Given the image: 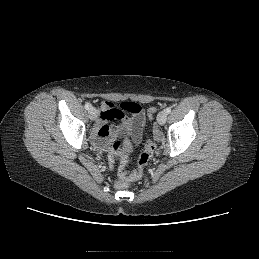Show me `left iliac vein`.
I'll return each mask as SVG.
<instances>
[{"label": "left iliac vein", "mask_w": 259, "mask_h": 259, "mask_svg": "<svg viewBox=\"0 0 259 259\" xmlns=\"http://www.w3.org/2000/svg\"><path fill=\"white\" fill-rule=\"evenodd\" d=\"M166 120H167V113H166V111L164 110V111L159 112V114L157 115V122L160 125H164Z\"/></svg>", "instance_id": "left-iliac-vein-1"}]
</instances>
